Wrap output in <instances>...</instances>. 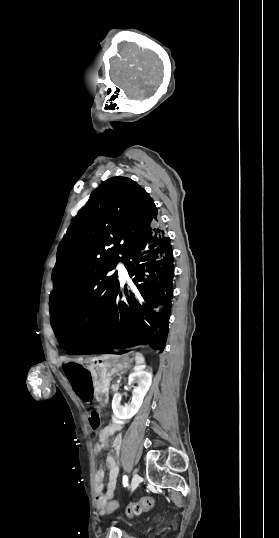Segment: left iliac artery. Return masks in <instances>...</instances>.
Listing matches in <instances>:
<instances>
[{
  "label": "left iliac artery",
  "mask_w": 279,
  "mask_h": 538,
  "mask_svg": "<svg viewBox=\"0 0 279 538\" xmlns=\"http://www.w3.org/2000/svg\"><path fill=\"white\" fill-rule=\"evenodd\" d=\"M123 486L124 487L128 486V477H127V475L123 476Z\"/></svg>",
  "instance_id": "1"
}]
</instances>
